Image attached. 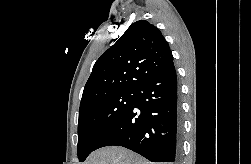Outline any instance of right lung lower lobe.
Instances as JSON below:
<instances>
[{
	"instance_id": "1",
	"label": "right lung lower lobe",
	"mask_w": 251,
	"mask_h": 164,
	"mask_svg": "<svg viewBox=\"0 0 251 164\" xmlns=\"http://www.w3.org/2000/svg\"><path fill=\"white\" fill-rule=\"evenodd\" d=\"M182 123L174 64L147 78L133 106L99 141L128 148L151 162H178Z\"/></svg>"
}]
</instances>
